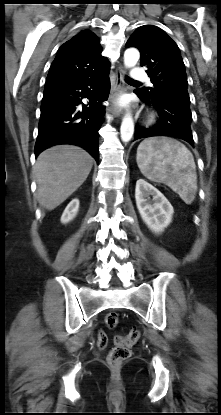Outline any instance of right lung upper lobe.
<instances>
[{"instance_id": "1", "label": "right lung upper lobe", "mask_w": 221, "mask_h": 415, "mask_svg": "<svg viewBox=\"0 0 221 415\" xmlns=\"http://www.w3.org/2000/svg\"><path fill=\"white\" fill-rule=\"evenodd\" d=\"M98 37L90 30L81 31L59 48L51 64L45 85L95 77L110 69L101 55Z\"/></svg>"}]
</instances>
